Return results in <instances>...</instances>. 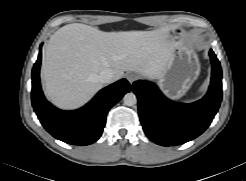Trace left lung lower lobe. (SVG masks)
I'll use <instances>...</instances> for the list:
<instances>
[{"instance_id": "left-lung-lower-lobe-1", "label": "left lung lower lobe", "mask_w": 246, "mask_h": 181, "mask_svg": "<svg viewBox=\"0 0 246 181\" xmlns=\"http://www.w3.org/2000/svg\"><path fill=\"white\" fill-rule=\"evenodd\" d=\"M212 78L207 94L197 102L179 104L167 99L150 82L138 80L133 91L145 134L156 144L176 146L201 135L212 122L222 100V71L212 50Z\"/></svg>"}]
</instances>
